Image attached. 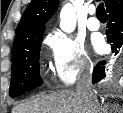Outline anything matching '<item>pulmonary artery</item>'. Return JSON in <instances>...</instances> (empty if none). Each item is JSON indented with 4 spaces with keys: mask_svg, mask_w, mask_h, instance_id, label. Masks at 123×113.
<instances>
[{
    "mask_svg": "<svg viewBox=\"0 0 123 113\" xmlns=\"http://www.w3.org/2000/svg\"><path fill=\"white\" fill-rule=\"evenodd\" d=\"M90 18L87 20V27L91 31H97L100 29V21L94 16L95 15V8L91 7L89 9Z\"/></svg>",
    "mask_w": 123,
    "mask_h": 113,
    "instance_id": "obj_1",
    "label": "pulmonary artery"
}]
</instances>
